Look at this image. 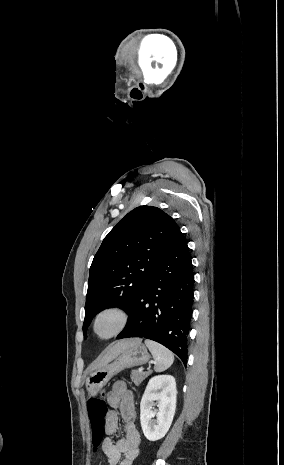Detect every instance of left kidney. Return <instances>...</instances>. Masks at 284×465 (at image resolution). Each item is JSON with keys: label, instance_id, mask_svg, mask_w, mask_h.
<instances>
[{"label": "left kidney", "instance_id": "obj_1", "mask_svg": "<svg viewBox=\"0 0 284 465\" xmlns=\"http://www.w3.org/2000/svg\"><path fill=\"white\" fill-rule=\"evenodd\" d=\"M176 393L175 379L171 375L150 379L140 403V423L148 441H159L168 433L175 415ZM155 405L158 409H154Z\"/></svg>", "mask_w": 284, "mask_h": 465}]
</instances>
